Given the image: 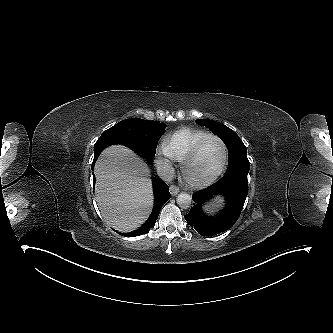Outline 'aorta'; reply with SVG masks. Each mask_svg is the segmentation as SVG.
<instances>
[{
  "instance_id": "aorta-1",
  "label": "aorta",
  "mask_w": 333,
  "mask_h": 333,
  "mask_svg": "<svg viewBox=\"0 0 333 333\" xmlns=\"http://www.w3.org/2000/svg\"><path fill=\"white\" fill-rule=\"evenodd\" d=\"M177 204L179 205V207L183 208V209H187L190 207L191 202H192V198L189 194L187 193H181L177 196Z\"/></svg>"
}]
</instances>
